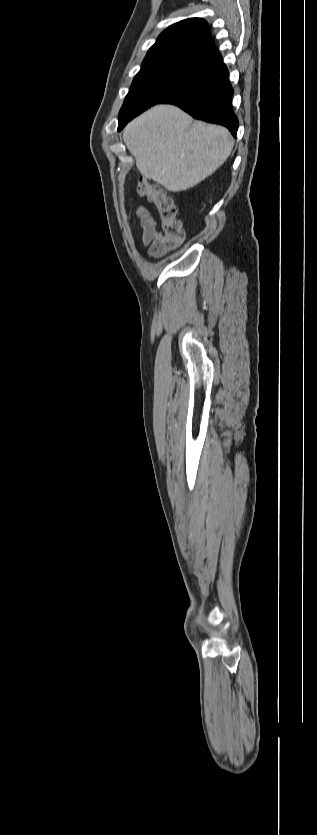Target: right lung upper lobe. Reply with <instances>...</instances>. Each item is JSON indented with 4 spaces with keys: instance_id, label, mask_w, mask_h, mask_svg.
Returning <instances> with one entry per match:
<instances>
[{
    "instance_id": "1",
    "label": "right lung upper lobe",
    "mask_w": 317,
    "mask_h": 835,
    "mask_svg": "<svg viewBox=\"0 0 317 835\" xmlns=\"http://www.w3.org/2000/svg\"><path fill=\"white\" fill-rule=\"evenodd\" d=\"M215 51L205 20L190 18L164 30L149 49L141 70Z\"/></svg>"
}]
</instances>
